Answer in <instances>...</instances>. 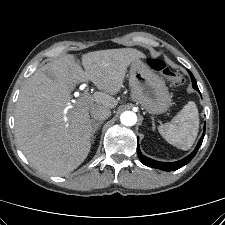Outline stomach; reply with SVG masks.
<instances>
[{
    "label": "stomach",
    "instance_id": "1",
    "mask_svg": "<svg viewBox=\"0 0 225 225\" xmlns=\"http://www.w3.org/2000/svg\"><path fill=\"white\" fill-rule=\"evenodd\" d=\"M129 85L131 98L148 113L161 114L170 107L171 96L164 80L140 59L131 63Z\"/></svg>",
    "mask_w": 225,
    "mask_h": 225
}]
</instances>
